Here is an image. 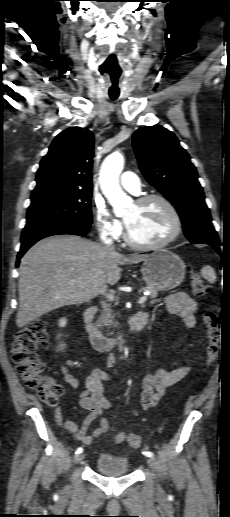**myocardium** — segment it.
<instances>
[{
	"label": "myocardium",
	"instance_id": "myocardium-1",
	"mask_svg": "<svg viewBox=\"0 0 230 517\" xmlns=\"http://www.w3.org/2000/svg\"><path fill=\"white\" fill-rule=\"evenodd\" d=\"M152 201H159L165 206V208L168 210V212L172 218L173 227H172L170 234L159 242L140 243L131 236L128 226L126 225V230H125V234H124L125 242L129 246H131L135 249H138V250H155V249L163 248V247L169 245L170 243H172L174 240H176L182 232L183 224H182L181 216H180L178 210L176 209V207L173 205V203L165 196H163L161 194L145 195L136 201V205L143 206Z\"/></svg>",
	"mask_w": 230,
	"mask_h": 517
}]
</instances>
